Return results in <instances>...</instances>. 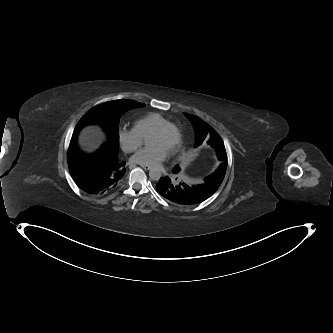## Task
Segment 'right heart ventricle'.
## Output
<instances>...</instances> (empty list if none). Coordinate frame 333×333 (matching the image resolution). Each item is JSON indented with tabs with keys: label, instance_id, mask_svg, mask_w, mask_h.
I'll return each instance as SVG.
<instances>
[{
	"label": "right heart ventricle",
	"instance_id": "e07e8e85",
	"mask_svg": "<svg viewBox=\"0 0 333 333\" xmlns=\"http://www.w3.org/2000/svg\"><path fill=\"white\" fill-rule=\"evenodd\" d=\"M170 122L171 121L167 117L159 113L152 112L137 119L134 123V128L143 138H145L158 127Z\"/></svg>",
	"mask_w": 333,
	"mask_h": 333
}]
</instances>
